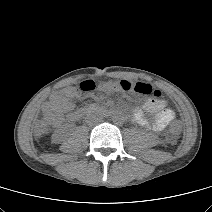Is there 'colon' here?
Wrapping results in <instances>:
<instances>
[{"mask_svg": "<svg viewBox=\"0 0 212 212\" xmlns=\"http://www.w3.org/2000/svg\"><path fill=\"white\" fill-rule=\"evenodd\" d=\"M79 88L83 92H92L95 89L98 91H105L106 89L110 92H138L141 94L149 95L152 94L156 98L161 97L159 90H154L149 84L144 82L131 81L128 78L121 80H98L96 83L92 80H86L80 83ZM48 124L46 121H39L34 127L35 134L41 136L46 133ZM179 131L178 125H174L171 129L169 138L174 141Z\"/></svg>", "mask_w": 212, "mask_h": 212, "instance_id": "obj_1", "label": "colon"}]
</instances>
